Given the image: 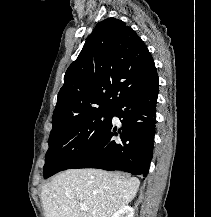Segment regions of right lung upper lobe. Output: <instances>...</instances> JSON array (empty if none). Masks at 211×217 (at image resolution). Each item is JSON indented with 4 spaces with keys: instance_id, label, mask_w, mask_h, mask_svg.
Returning <instances> with one entry per match:
<instances>
[{
    "instance_id": "cb5924a9",
    "label": "right lung upper lobe",
    "mask_w": 211,
    "mask_h": 217,
    "mask_svg": "<svg viewBox=\"0 0 211 217\" xmlns=\"http://www.w3.org/2000/svg\"><path fill=\"white\" fill-rule=\"evenodd\" d=\"M156 74L148 48L131 27L116 18L97 23L65 73L53 128L92 111L114 109Z\"/></svg>"
}]
</instances>
